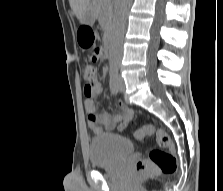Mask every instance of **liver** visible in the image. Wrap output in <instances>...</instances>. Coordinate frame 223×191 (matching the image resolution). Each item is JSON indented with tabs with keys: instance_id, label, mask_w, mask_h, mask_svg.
Segmentation results:
<instances>
[{
	"instance_id": "liver-1",
	"label": "liver",
	"mask_w": 223,
	"mask_h": 191,
	"mask_svg": "<svg viewBox=\"0 0 223 191\" xmlns=\"http://www.w3.org/2000/svg\"><path fill=\"white\" fill-rule=\"evenodd\" d=\"M89 3L90 0H69L70 7L79 20L81 19L82 14L89 7Z\"/></svg>"
}]
</instances>
